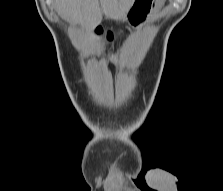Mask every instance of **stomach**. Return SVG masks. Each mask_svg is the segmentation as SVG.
<instances>
[{
	"label": "stomach",
	"mask_w": 223,
	"mask_h": 191,
	"mask_svg": "<svg viewBox=\"0 0 223 191\" xmlns=\"http://www.w3.org/2000/svg\"><path fill=\"white\" fill-rule=\"evenodd\" d=\"M162 2L163 0H134L121 20L134 28H139L155 15Z\"/></svg>",
	"instance_id": "1"
}]
</instances>
